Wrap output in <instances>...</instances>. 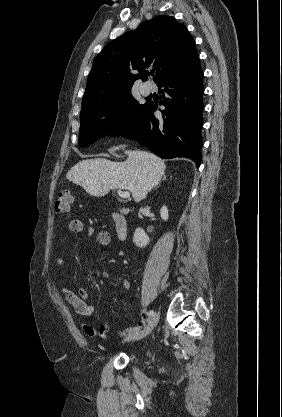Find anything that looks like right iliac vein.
<instances>
[{
	"instance_id": "1",
	"label": "right iliac vein",
	"mask_w": 282,
	"mask_h": 417,
	"mask_svg": "<svg viewBox=\"0 0 282 417\" xmlns=\"http://www.w3.org/2000/svg\"><path fill=\"white\" fill-rule=\"evenodd\" d=\"M158 321H159V314L157 313V314H155V315L153 316V318L149 321L148 326H147V327H146L143 331L136 332V333L131 334V335H127V336L124 338V341L139 340V339H141V338L145 337V336H146V335H148V334L152 331V329H153V328L157 325Z\"/></svg>"
}]
</instances>
